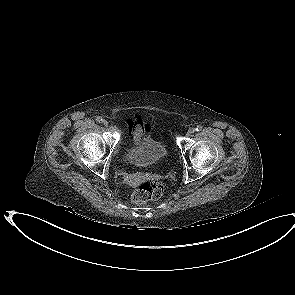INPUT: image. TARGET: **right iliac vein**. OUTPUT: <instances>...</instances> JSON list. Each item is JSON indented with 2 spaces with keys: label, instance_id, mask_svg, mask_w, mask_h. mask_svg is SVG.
<instances>
[{
  "label": "right iliac vein",
  "instance_id": "right-iliac-vein-1",
  "mask_svg": "<svg viewBox=\"0 0 295 295\" xmlns=\"http://www.w3.org/2000/svg\"><path fill=\"white\" fill-rule=\"evenodd\" d=\"M103 125L107 127L109 125L108 121L107 120H103Z\"/></svg>",
  "mask_w": 295,
  "mask_h": 295
}]
</instances>
